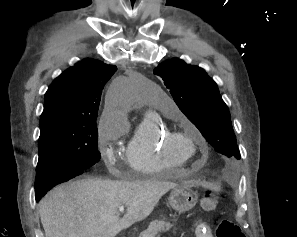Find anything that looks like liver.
<instances>
[{
	"label": "liver",
	"mask_w": 297,
	"mask_h": 237,
	"mask_svg": "<svg viewBox=\"0 0 297 237\" xmlns=\"http://www.w3.org/2000/svg\"><path fill=\"white\" fill-rule=\"evenodd\" d=\"M171 182L83 180L51 190L39 203L46 237H115L147 218ZM127 207L123 218L118 208Z\"/></svg>",
	"instance_id": "obj_1"
}]
</instances>
